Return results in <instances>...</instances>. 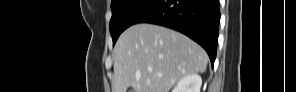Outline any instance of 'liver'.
Here are the masks:
<instances>
[{
    "label": "liver",
    "instance_id": "6515ba94",
    "mask_svg": "<svg viewBox=\"0 0 296 92\" xmlns=\"http://www.w3.org/2000/svg\"><path fill=\"white\" fill-rule=\"evenodd\" d=\"M114 54L113 92L128 87L133 92H169L183 77L204 73L208 63L205 50L190 38L146 23L126 29Z\"/></svg>",
    "mask_w": 296,
    "mask_h": 92
}]
</instances>
